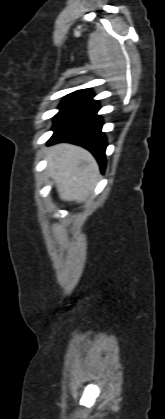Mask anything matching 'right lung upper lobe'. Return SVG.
<instances>
[{
	"mask_svg": "<svg viewBox=\"0 0 165 419\" xmlns=\"http://www.w3.org/2000/svg\"><path fill=\"white\" fill-rule=\"evenodd\" d=\"M74 93L80 94L83 97H87V96H91L92 95V91L88 90V89H83V90H78Z\"/></svg>",
	"mask_w": 165,
	"mask_h": 419,
	"instance_id": "cb5924a9",
	"label": "right lung upper lobe"
}]
</instances>
